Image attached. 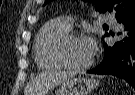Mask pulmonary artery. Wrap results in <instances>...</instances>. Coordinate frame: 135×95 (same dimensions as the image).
Returning <instances> with one entry per match:
<instances>
[{"label":"pulmonary artery","instance_id":"e3ab8cb5","mask_svg":"<svg viewBox=\"0 0 135 95\" xmlns=\"http://www.w3.org/2000/svg\"><path fill=\"white\" fill-rule=\"evenodd\" d=\"M103 18H104V21H106L107 23L116 24V22L112 21L109 16H103ZM62 20L66 23V25H67L68 27L71 28V26H72L71 18L65 17V18H63Z\"/></svg>","mask_w":135,"mask_h":95}]
</instances>
